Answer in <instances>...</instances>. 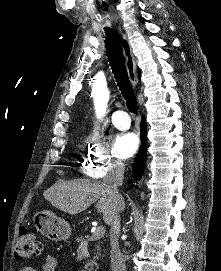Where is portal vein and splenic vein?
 <instances>
[{"instance_id": "1", "label": "portal vein and splenic vein", "mask_w": 221, "mask_h": 271, "mask_svg": "<svg viewBox=\"0 0 221 271\" xmlns=\"http://www.w3.org/2000/svg\"><path fill=\"white\" fill-rule=\"evenodd\" d=\"M104 233V227L98 226L97 229H95L94 238H103Z\"/></svg>"}]
</instances>
